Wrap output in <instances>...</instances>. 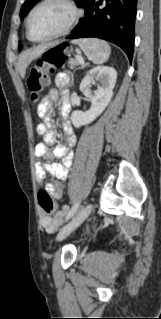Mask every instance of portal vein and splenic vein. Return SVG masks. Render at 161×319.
Instances as JSON below:
<instances>
[{
  "mask_svg": "<svg viewBox=\"0 0 161 319\" xmlns=\"http://www.w3.org/2000/svg\"><path fill=\"white\" fill-rule=\"evenodd\" d=\"M76 58L79 61V63H82V64L84 63V60L80 55H77Z\"/></svg>",
  "mask_w": 161,
  "mask_h": 319,
  "instance_id": "portal-vein-and-splenic-vein-1",
  "label": "portal vein and splenic vein"
}]
</instances>
